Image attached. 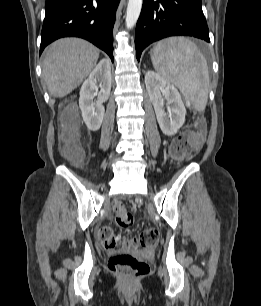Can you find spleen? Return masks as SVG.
I'll list each match as a JSON object with an SVG mask.
<instances>
[{"mask_svg":"<svg viewBox=\"0 0 261 306\" xmlns=\"http://www.w3.org/2000/svg\"><path fill=\"white\" fill-rule=\"evenodd\" d=\"M150 53L157 73L178 87L194 109L204 111L208 101L209 71L195 43L185 37H171L158 42Z\"/></svg>","mask_w":261,"mask_h":306,"instance_id":"1","label":"spleen"}]
</instances>
